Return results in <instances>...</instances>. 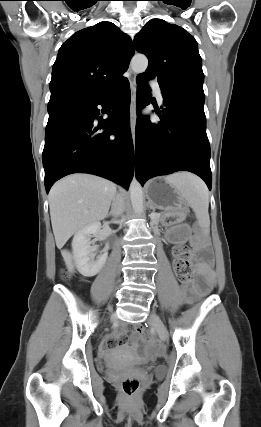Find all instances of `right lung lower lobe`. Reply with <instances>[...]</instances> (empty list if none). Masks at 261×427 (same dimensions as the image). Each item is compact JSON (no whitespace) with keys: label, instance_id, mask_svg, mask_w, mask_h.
Returning a JSON list of instances; mask_svg holds the SVG:
<instances>
[{"label":"right lung lower lobe","instance_id":"right-lung-lower-lobe-1","mask_svg":"<svg viewBox=\"0 0 261 427\" xmlns=\"http://www.w3.org/2000/svg\"><path fill=\"white\" fill-rule=\"evenodd\" d=\"M130 97L125 79L97 100L49 112L43 150L47 193L57 180L77 172L98 175L128 189L134 172ZM97 105L108 108L107 119L96 117Z\"/></svg>","mask_w":261,"mask_h":427}]
</instances>
